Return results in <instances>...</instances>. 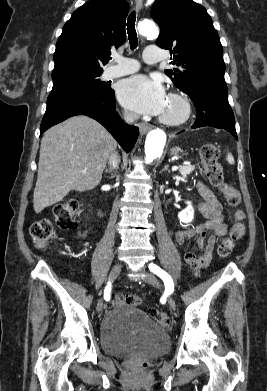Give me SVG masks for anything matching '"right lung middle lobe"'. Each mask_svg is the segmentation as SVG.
I'll list each match as a JSON object with an SVG mask.
<instances>
[{
	"instance_id": "obj_1",
	"label": "right lung middle lobe",
	"mask_w": 267,
	"mask_h": 391,
	"mask_svg": "<svg viewBox=\"0 0 267 391\" xmlns=\"http://www.w3.org/2000/svg\"><path fill=\"white\" fill-rule=\"evenodd\" d=\"M103 71L99 72H75L67 73L53 78V88L51 93L66 89H86L91 91L107 92L110 86L102 82L99 77Z\"/></svg>"
}]
</instances>
